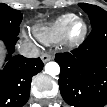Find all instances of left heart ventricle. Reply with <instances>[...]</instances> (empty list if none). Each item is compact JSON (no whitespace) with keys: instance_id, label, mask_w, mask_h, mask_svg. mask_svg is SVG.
<instances>
[{"instance_id":"left-heart-ventricle-1","label":"left heart ventricle","mask_w":107,"mask_h":107,"mask_svg":"<svg viewBox=\"0 0 107 107\" xmlns=\"http://www.w3.org/2000/svg\"><path fill=\"white\" fill-rule=\"evenodd\" d=\"M82 28V25L80 23H76L73 27V33L77 34Z\"/></svg>"}]
</instances>
